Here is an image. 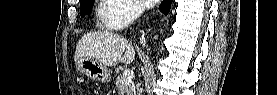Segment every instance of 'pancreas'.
<instances>
[{
  "label": "pancreas",
  "mask_w": 277,
  "mask_h": 95,
  "mask_svg": "<svg viewBox=\"0 0 277 95\" xmlns=\"http://www.w3.org/2000/svg\"><path fill=\"white\" fill-rule=\"evenodd\" d=\"M116 89L119 95H133L134 92L131 82L121 75H118L116 78Z\"/></svg>",
  "instance_id": "obj_1"
}]
</instances>
